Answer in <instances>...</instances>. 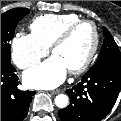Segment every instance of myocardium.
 Wrapping results in <instances>:
<instances>
[{
    "label": "myocardium",
    "mask_w": 121,
    "mask_h": 121,
    "mask_svg": "<svg viewBox=\"0 0 121 121\" xmlns=\"http://www.w3.org/2000/svg\"><path fill=\"white\" fill-rule=\"evenodd\" d=\"M85 24L90 25L93 30V43H92V46H91L89 53H88L87 57L85 58V60L76 68L71 69L69 71L70 74H74V75L80 74V73L84 72L92 63V61L98 51L99 44H100V33H99L97 25L92 20L80 19V20L70 24L69 26H67L51 45V52L54 53V51L59 46L63 45L70 38V36L74 33V31L77 28H79L80 26L85 25Z\"/></svg>",
    "instance_id": "1"
}]
</instances>
